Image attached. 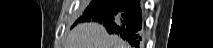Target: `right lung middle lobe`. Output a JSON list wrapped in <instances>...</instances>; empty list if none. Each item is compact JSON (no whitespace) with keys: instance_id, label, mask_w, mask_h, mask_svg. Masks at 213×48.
Instances as JSON below:
<instances>
[{"instance_id":"dd1d6c3e","label":"right lung middle lobe","mask_w":213,"mask_h":48,"mask_svg":"<svg viewBox=\"0 0 213 48\" xmlns=\"http://www.w3.org/2000/svg\"><path fill=\"white\" fill-rule=\"evenodd\" d=\"M80 18H81V17H80ZM80 18H79V19H80ZM79 19H78V20H79ZM78 20H77V22H76V23L80 22V21H78Z\"/></svg>"}]
</instances>
